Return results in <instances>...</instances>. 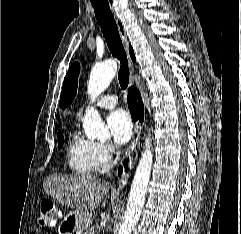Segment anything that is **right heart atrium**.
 Listing matches in <instances>:
<instances>
[{
    "label": "right heart atrium",
    "instance_id": "d8ad5b80",
    "mask_svg": "<svg viewBox=\"0 0 241 234\" xmlns=\"http://www.w3.org/2000/svg\"><path fill=\"white\" fill-rule=\"evenodd\" d=\"M98 152L102 168L107 167L111 162L114 154V149L109 143H99Z\"/></svg>",
    "mask_w": 241,
    "mask_h": 234
}]
</instances>
